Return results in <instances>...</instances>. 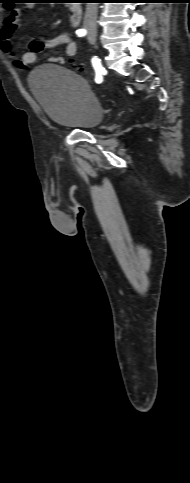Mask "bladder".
Returning a JSON list of instances; mask_svg holds the SVG:
<instances>
[{
	"mask_svg": "<svg viewBox=\"0 0 190 483\" xmlns=\"http://www.w3.org/2000/svg\"><path fill=\"white\" fill-rule=\"evenodd\" d=\"M29 88L47 116L64 125L86 130L104 118L102 104L91 87L75 71L46 64L29 75Z\"/></svg>",
	"mask_w": 190,
	"mask_h": 483,
	"instance_id": "1",
	"label": "bladder"
}]
</instances>
